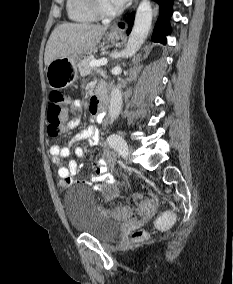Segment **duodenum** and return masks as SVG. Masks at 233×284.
<instances>
[{
	"instance_id": "1",
	"label": "duodenum",
	"mask_w": 233,
	"mask_h": 284,
	"mask_svg": "<svg viewBox=\"0 0 233 284\" xmlns=\"http://www.w3.org/2000/svg\"><path fill=\"white\" fill-rule=\"evenodd\" d=\"M94 99L96 100V102L101 108H104L105 103H106V95L103 90L101 89L98 90L97 95L94 97Z\"/></svg>"
}]
</instances>
